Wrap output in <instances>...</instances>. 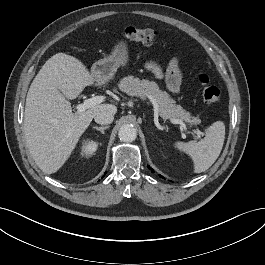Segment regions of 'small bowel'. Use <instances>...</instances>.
<instances>
[{"label": "small bowel", "mask_w": 265, "mask_h": 265, "mask_svg": "<svg viewBox=\"0 0 265 265\" xmlns=\"http://www.w3.org/2000/svg\"><path fill=\"white\" fill-rule=\"evenodd\" d=\"M146 68L157 78L164 79L168 89L171 92H179L181 84V74L179 70V62L177 59H172L165 71L153 61H148L146 63Z\"/></svg>", "instance_id": "obj_1"}]
</instances>
